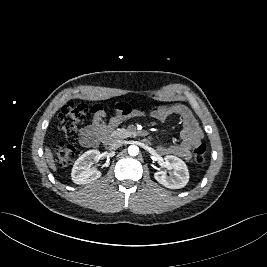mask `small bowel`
<instances>
[{"label":"small bowel","instance_id":"c3829d8e","mask_svg":"<svg viewBox=\"0 0 267 267\" xmlns=\"http://www.w3.org/2000/svg\"><path fill=\"white\" fill-rule=\"evenodd\" d=\"M143 114L142 110L133 109L128 103L121 102L116 105L115 115L107 121L105 111L97 105L93 108L92 120L81 132V144L85 147L96 146L106 138L109 131L122 122ZM174 115L180 117L183 124L180 143L159 146L157 151L161 155H172L188 160L194 148L201 143L203 133L190 109L183 104L164 105L152 112V117L162 122Z\"/></svg>","mask_w":267,"mask_h":267}]
</instances>
